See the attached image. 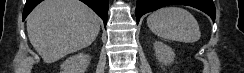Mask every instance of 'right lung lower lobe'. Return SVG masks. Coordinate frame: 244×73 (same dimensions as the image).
<instances>
[{"instance_id":"98d812e1","label":"right lung lower lobe","mask_w":244,"mask_h":73,"mask_svg":"<svg viewBox=\"0 0 244 73\" xmlns=\"http://www.w3.org/2000/svg\"><path fill=\"white\" fill-rule=\"evenodd\" d=\"M41 1L43 0H26V4L23 10V20L33 10V8L37 6ZM80 1L84 2L91 9H93L95 13L102 18L104 25L106 27L109 0H80Z\"/></svg>"}]
</instances>
